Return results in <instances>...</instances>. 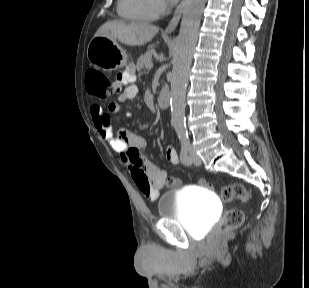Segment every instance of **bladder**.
I'll return each instance as SVG.
<instances>
[{
  "mask_svg": "<svg viewBox=\"0 0 309 288\" xmlns=\"http://www.w3.org/2000/svg\"><path fill=\"white\" fill-rule=\"evenodd\" d=\"M220 203L203 187L173 189L157 199L160 218H173L189 232L204 233L213 224Z\"/></svg>",
  "mask_w": 309,
  "mask_h": 288,
  "instance_id": "31cf9c89",
  "label": "bladder"
}]
</instances>
